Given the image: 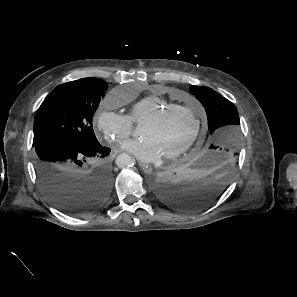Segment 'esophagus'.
<instances>
[{
    "instance_id": "esophagus-1",
    "label": "esophagus",
    "mask_w": 297,
    "mask_h": 297,
    "mask_svg": "<svg viewBox=\"0 0 297 297\" xmlns=\"http://www.w3.org/2000/svg\"><path fill=\"white\" fill-rule=\"evenodd\" d=\"M139 166L141 167V169L145 172V173H147V174H150V173H152V168H151V166L150 165H148V164H145V163H139Z\"/></svg>"
}]
</instances>
